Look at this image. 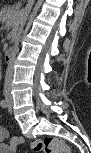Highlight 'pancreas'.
Segmentation results:
<instances>
[{
    "label": "pancreas",
    "instance_id": "obj_1",
    "mask_svg": "<svg viewBox=\"0 0 91 153\" xmlns=\"http://www.w3.org/2000/svg\"><path fill=\"white\" fill-rule=\"evenodd\" d=\"M1 19L8 28H12L11 34H15L16 27L19 24V11L14 6L4 7L0 11Z\"/></svg>",
    "mask_w": 91,
    "mask_h": 153
}]
</instances>
